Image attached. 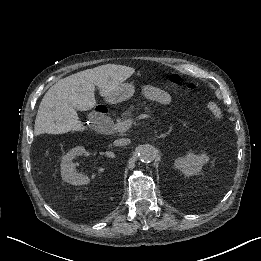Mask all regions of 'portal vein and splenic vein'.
Masks as SVG:
<instances>
[{"instance_id":"1","label":"portal vein and splenic vein","mask_w":261,"mask_h":261,"mask_svg":"<svg viewBox=\"0 0 261 261\" xmlns=\"http://www.w3.org/2000/svg\"><path fill=\"white\" fill-rule=\"evenodd\" d=\"M152 117V114L150 113V112H146V113H144V114H142L141 116H140V119L142 120V121H145V120H148V119H150ZM132 122L134 123V124H137L138 122H139V118L137 117V116H134L133 118H132ZM130 127H131V121H119V122H117V123H115V125H114V130L116 131V132H120V133H123V132H126V131H128L129 129H130Z\"/></svg>"}]
</instances>
